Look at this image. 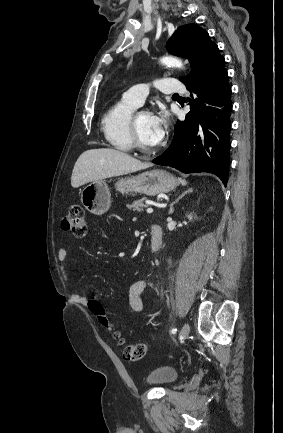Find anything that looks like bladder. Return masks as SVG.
<instances>
[{
  "mask_svg": "<svg viewBox=\"0 0 283 433\" xmlns=\"http://www.w3.org/2000/svg\"><path fill=\"white\" fill-rule=\"evenodd\" d=\"M177 379V372L174 369L161 365L154 368L148 374V383L150 385L169 386Z\"/></svg>",
  "mask_w": 283,
  "mask_h": 433,
  "instance_id": "31cf9c89",
  "label": "bladder"
}]
</instances>
